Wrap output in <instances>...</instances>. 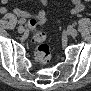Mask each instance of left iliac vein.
<instances>
[{
	"label": "left iliac vein",
	"instance_id": "obj_1",
	"mask_svg": "<svg viewBox=\"0 0 91 91\" xmlns=\"http://www.w3.org/2000/svg\"><path fill=\"white\" fill-rule=\"evenodd\" d=\"M68 33L69 35H71L72 37H76L78 35V32L76 29H70L68 28Z\"/></svg>",
	"mask_w": 91,
	"mask_h": 91
}]
</instances>
